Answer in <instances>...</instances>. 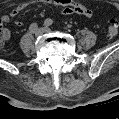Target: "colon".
Instances as JSON below:
<instances>
[{
	"instance_id": "5ec220e1",
	"label": "colon",
	"mask_w": 119,
	"mask_h": 119,
	"mask_svg": "<svg viewBox=\"0 0 119 119\" xmlns=\"http://www.w3.org/2000/svg\"><path fill=\"white\" fill-rule=\"evenodd\" d=\"M107 33H108V36L110 38H113L117 35V33H118V23L115 20L110 21V23L108 25ZM2 38H3V31L0 27V41L2 40Z\"/></svg>"
}]
</instances>
